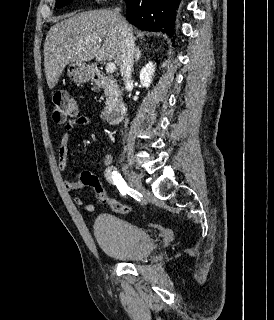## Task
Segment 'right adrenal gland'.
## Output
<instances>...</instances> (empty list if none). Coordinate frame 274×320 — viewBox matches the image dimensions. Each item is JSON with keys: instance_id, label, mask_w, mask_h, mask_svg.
<instances>
[{"instance_id": "2a0ac1e0", "label": "right adrenal gland", "mask_w": 274, "mask_h": 320, "mask_svg": "<svg viewBox=\"0 0 274 320\" xmlns=\"http://www.w3.org/2000/svg\"><path fill=\"white\" fill-rule=\"evenodd\" d=\"M141 56H142V54H141L140 48L138 46V48H136V50H135V62H138V60H140Z\"/></svg>"}]
</instances>
